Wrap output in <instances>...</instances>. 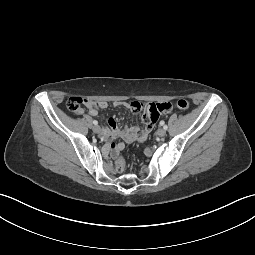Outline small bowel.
<instances>
[{"label": "small bowel", "instance_id": "obj_1", "mask_svg": "<svg viewBox=\"0 0 255 255\" xmlns=\"http://www.w3.org/2000/svg\"><path fill=\"white\" fill-rule=\"evenodd\" d=\"M125 106L129 107L134 111L141 109L145 110V115L143 118L144 127L143 128H124L119 129L115 118H109L107 120V126L103 128L102 136L109 142H112L115 138L120 137L123 142L112 143L111 147L114 152L120 151L124 148V143H130L134 141H144L151 129L153 128L155 122L160 120L163 115H167L173 112L174 105L170 101H162L160 103H149L144 104L142 102L134 101L131 104L126 102H115L114 106ZM108 103L105 101H99L95 104H89V114L91 116H96L98 114V108H106Z\"/></svg>", "mask_w": 255, "mask_h": 255}]
</instances>
